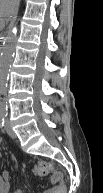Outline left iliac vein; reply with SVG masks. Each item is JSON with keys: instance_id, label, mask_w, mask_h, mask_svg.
<instances>
[{"instance_id": "obj_1", "label": "left iliac vein", "mask_w": 103, "mask_h": 193, "mask_svg": "<svg viewBox=\"0 0 103 193\" xmlns=\"http://www.w3.org/2000/svg\"><path fill=\"white\" fill-rule=\"evenodd\" d=\"M5 129H6L8 135H9L10 137L16 138V134H15V132L12 130L11 125H10V122H9L8 120L6 121Z\"/></svg>"}]
</instances>
